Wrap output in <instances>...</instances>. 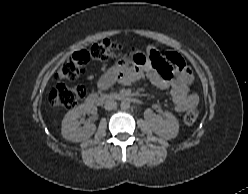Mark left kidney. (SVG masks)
<instances>
[{
  "label": "left kidney",
  "instance_id": "left-kidney-1",
  "mask_svg": "<svg viewBox=\"0 0 248 194\" xmlns=\"http://www.w3.org/2000/svg\"><path fill=\"white\" fill-rule=\"evenodd\" d=\"M152 131L158 136L170 140L175 138L179 132V123L171 113L166 114V119H157L152 125Z\"/></svg>",
  "mask_w": 248,
  "mask_h": 194
}]
</instances>
